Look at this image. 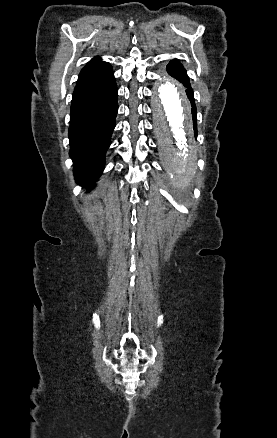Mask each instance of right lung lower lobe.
Masks as SVG:
<instances>
[{
    "label": "right lung lower lobe",
    "instance_id": "right-lung-lower-lobe-1",
    "mask_svg": "<svg viewBox=\"0 0 277 438\" xmlns=\"http://www.w3.org/2000/svg\"><path fill=\"white\" fill-rule=\"evenodd\" d=\"M113 71L78 82L70 113V157L78 184L90 186L105 165L118 111Z\"/></svg>",
    "mask_w": 277,
    "mask_h": 438
}]
</instances>
